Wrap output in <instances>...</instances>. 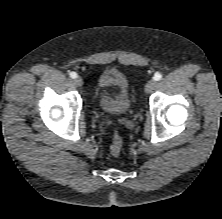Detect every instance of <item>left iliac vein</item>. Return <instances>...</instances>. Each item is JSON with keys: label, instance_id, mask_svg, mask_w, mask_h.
Wrapping results in <instances>:
<instances>
[{"label": "left iliac vein", "instance_id": "left-iliac-vein-1", "mask_svg": "<svg viewBox=\"0 0 222 219\" xmlns=\"http://www.w3.org/2000/svg\"><path fill=\"white\" fill-rule=\"evenodd\" d=\"M156 86V82L154 80H150L146 85H145V92L150 93L154 90Z\"/></svg>", "mask_w": 222, "mask_h": 219}]
</instances>
